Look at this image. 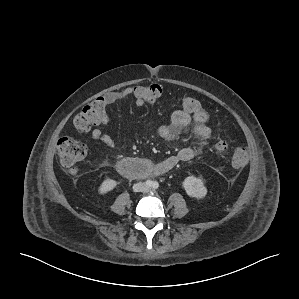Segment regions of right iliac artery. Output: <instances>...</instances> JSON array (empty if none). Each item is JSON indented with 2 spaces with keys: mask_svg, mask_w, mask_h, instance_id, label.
Here are the masks:
<instances>
[{
  "mask_svg": "<svg viewBox=\"0 0 299 299\" xmlns=\"http://www.w3.org/2000/svg\"><path fill=\"white\" fill-rule=\"evenodd\" d=\"M146 185L150 187V186L153 185V182H152L151 180H147V181H146Z\"/></svg>",
  "mask_w": 299,
  "mask_h": 299,
  "instance_id": "1",
  "label": "right iliac artery"
}]
</instances>
